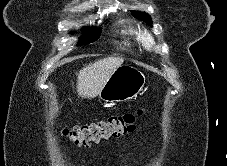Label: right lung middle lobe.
Here are the masks:
<instances>
[{
	"label": "right lung middle lobe",
	"mask_w": 227,
	"mask_h": 166,
	"mask_svg": "<svg viewBox=\"0 0 227 166\" xmlns=\"http://www.w3.org/2000/svg\"><path fill=\"white\" fill-rule=\"evenodd\" d=\"M83 32H84V35L81 37L79 44L93 43L100 36V30L96 29L95 27L84 28Z\"/></svg>",
	"instance_id": "1"
}]
</instances>
